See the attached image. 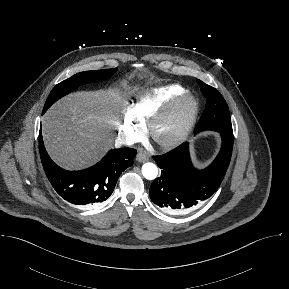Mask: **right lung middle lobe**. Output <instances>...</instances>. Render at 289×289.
<instances>
[{
  "label": "right lung middle lobe",
  "instance_id": "obj_1",
  "mask_svg": "<svg viewBox=\"0 0 289 289\" xmlns=\"http://www.w3.org/2000/svg\"><path fill=\"white\" fill-rule=\"evenodd\" d=\"M116 69H106L97 71H86L75 74L74 76L56 85L48 96L43 108V113L58 99L72 92L77 87L86 83L100 82L108 79L114 74Z\"/></svg>",
  "mask_w": 289,
  "mask_h": 289
}]
</instances>
